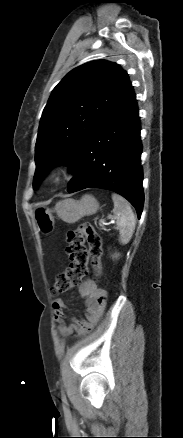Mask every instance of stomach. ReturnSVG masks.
Returning a JSON list of instances; mask_svg holds the SVG:
<instances>
[{"label":"stomach","instance_id":"obj_1","mask_svg":"<svg viewBox=\"0 0 183 438\" xmlns=\"http://www.w3.org/2000/svg\"><path fill=\"white\" fill-rule=\"evenodd\" d=\"M99 208L98 201L91 195H84L80 200L64 199L59 201L54 210L46 207H37L33 211V218L38 231L48 235L54 230L53 212L64 222L72 224L84 216L92 215Z\"/></svg>","mask_w":183,"mask_h":438}]
</instances>
